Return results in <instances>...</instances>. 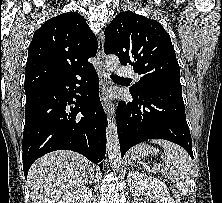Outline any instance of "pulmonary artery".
<instances>
[{
	"label": "pulmonary artery",
	"instance_id": "pulmonary-artery-1",
	"mask_svg": "<svg viewBox=\"0 0 222 203\" xmlns=\"http://www.w3.org/2000/svg\"><path fill=\"white\" fill-rule=\"evenodd\" d=\"M117 73L122 77H136L133 70L128 66H120L117 70Z\"/></svg>",
	"mask_w": 222,
	"mask_h": 203
}]
</instances>
